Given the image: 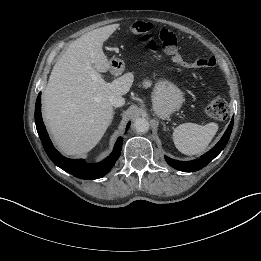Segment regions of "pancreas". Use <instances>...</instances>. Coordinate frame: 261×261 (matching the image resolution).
Listing matches in <instances>:
<instances>
[{"label": "pancreas", "mask_w": 261, "mask_h": 261, "mask_svg": "<svg viewBox=\"0 0 261 261\" xmlns=\"http://www.w3.org/2000/svg\"><path fill=\"white\" fill-rule=\"evenodd\" d=\"M143 87H150L151 86V81L150 80H145L143 83Z\"/></svg>", "instance_id": "1"}]
</instances>
